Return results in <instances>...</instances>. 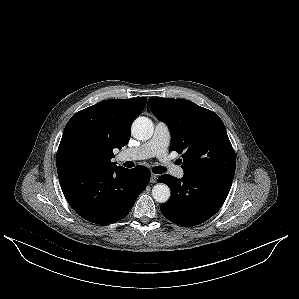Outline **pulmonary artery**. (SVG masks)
<instances>
[{
  "label": "pulmonary artery",
  "mask_w": 299,
  "mask_h": 299,
  "mask_svg": "<svg viewBox=\"0 0 299 299\" xmlns=\"http://www.w3.org/2000/svg\"><path fill=\"white\" fill-rule=\"evenodd\" d=\"M170 137V130L168 126L162 121H157L152 137L147 142L134 149L125 150L122 153V158L143 160L156 157L174 176L182 178L185 173L184 169L175 165L167 155Z\"/></svg>",
  "instance_id": "pulmonary-artery-1"
}]
</instances>
